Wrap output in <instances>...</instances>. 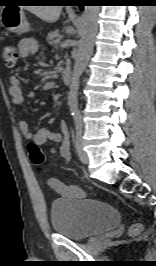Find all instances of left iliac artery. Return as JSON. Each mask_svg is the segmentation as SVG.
I'll return each instance as SVG.
<instances>
[{"label": "left iliac artery", "mask_w": 156, "mask_h": 266, "mask_svg": "<svg viewBox=\"0 0 156 266\" xmlns=\"http://www.w3.org/2000/svg\"><path fill=\"white\" fill-rule=\"evenodd\" d=\"M73 116H74L75 129H76L75 148L78 151L81 143L83 124H82V117L79 113L73 114Z\"/></svg>", "instance_id": "44dca946"}]
</instances>
